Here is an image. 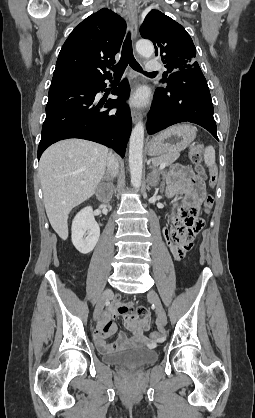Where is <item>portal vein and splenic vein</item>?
Here are the masks:
<instances>
[{
  "label": "portal vein and splenic vein",
  "mask_w": 255,
  "mask_h": 418,
  "mask_svg": "<svg viewBox=\"0 0 255 418\" xmlns=\"http://www.w3.org/2000/svg\"><path fill=\"white\" fill-rule=\"evenodd\" d=\"M167 166V164L166 163H162V164H160V169H164L165 167Z\"/></svg>",
  "instance_id": "portal-vein-and-splenic-vein-1"
}]
</instances>
